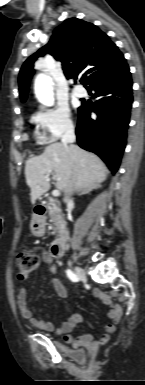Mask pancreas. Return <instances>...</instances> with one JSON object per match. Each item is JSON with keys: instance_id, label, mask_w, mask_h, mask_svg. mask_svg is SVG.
I'll return each mask as SVG.
<instances>
[{"instance_id": "pancreas-1", "label": "pancreas", "mask_w": 145, "mask_h": 385, "mask_svg": "<svg viewBox=\"0 0 145 385\" xmlns=\"http://www.w3.org/2000/svg\"><path fill=\"white\" fill-rule=\"evenodd\" d=\"M50 207H49V216L54 222L55 227H58L59 224L61 223V216L58 214V208L53 202V200H50Z\"/></svg>"}]
</instances>
